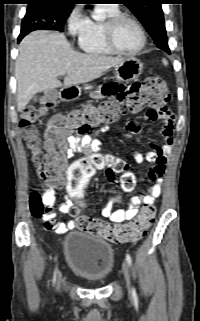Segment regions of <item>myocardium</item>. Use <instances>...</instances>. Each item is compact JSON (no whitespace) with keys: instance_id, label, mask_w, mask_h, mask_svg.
<instances>
[{"instance_id":"myocardium-1","label":"myocardium","mask_w":200,"mask_h":321,"mask_svg":"<svg viewBox=\"0 0 200 321\" xmlns=\"http://www.w3.org/2000/svg\"><path fill=\"white\" fill-rule=\"evenodd\" d=\"M123 20H129L131 21L138 29L140 36H141V44L140 46L133 50V51H125L121 49L116 42L115 38V33L117 26L119 23ZM104 37L105 41L108 45V47L115 53L120 54V55H125V56H135L139 54L145 47L146 45V33L141 25V23L132 15H129L127 13H118L116 15H113L111 17H108L105 22H104Z\"/></svg>"}]
</instances>
